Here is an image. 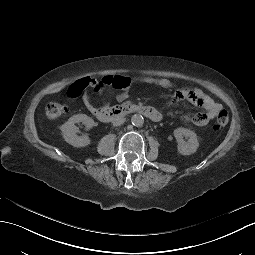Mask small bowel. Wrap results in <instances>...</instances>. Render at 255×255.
<instances>
[{
  "label": "small bowel",
  "instance_id": "obj_1",
  "mask_svg": "<svg viewBox=\"0 0 255 255\" xmlns=\"http://www.w3.org/2000/svg\"><path fill=\"white\" fill-rule=\"evenodd\" d=\"M128 85L124 88L120 89V92L117 94V100L122 102L126 100L130 95L131 86L134 83H144L151 86L162 87V88H171L173 86L172 82L165 78H156V77H140L136 79H129L128 78ZM104 90H100L95 92L99 97L103 95ZM67 95L69 98H74L78 94L71 92L69 89L67 91ZM182 100L190 101L191 103L195 104L203 108L204 112L196 113L192 116H187L184 118L185 121L191 122L196 126H205L211 120H213L218 113L222 110V106L215 102L209 95L205 94L201 89H179L171 96L168 104H173ZM83 103L86 108L92 111L95 106L92 103V95L89 93L84 94L83 96Z\"/></svg>",
  "mask_w": 255,
  "mask_h": 255
}]
</instances>
